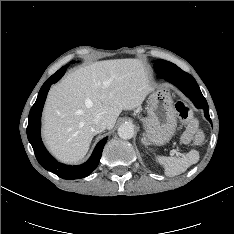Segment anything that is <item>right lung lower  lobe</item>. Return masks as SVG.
Wrapping results in <instances>:
<instances>
[{
  "instance_id": "98d812e1",
  "label": "right lung lower lobe",
  "mask_w": 234,
  "mask_h": 234,
  "mask_svg": "<svg viewBox=\"0 0 234 234\" xmlns=\"http://www.w3.org/2000/svg\"><path fill=\"white\" fill-rule=\"evenodd\" d=\"M68 65L61 67L55 74H53L41 87L37 100L30 110L27 126V137L31 143L35 156L40 165L46 170L56 174L63 179H79L86 177L99 164L102 150L107 141V138L102 139L95 147L91 157L87 162L78 166L64 165L57 162L44 147L41 137V113L47 97L50 86L57 82L65 73Z\"/></svg>"
}]
</instances>
